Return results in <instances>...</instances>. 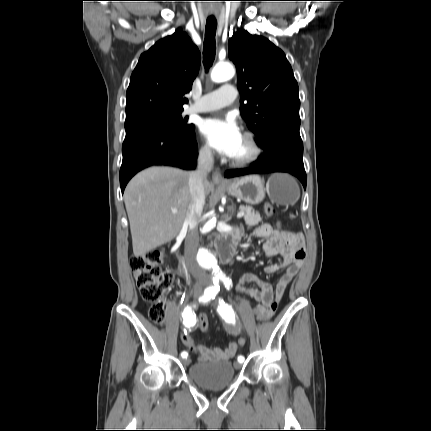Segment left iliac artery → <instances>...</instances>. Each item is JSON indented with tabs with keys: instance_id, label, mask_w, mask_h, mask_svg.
<instances>
[{
	"instance_id": "obj_1",
	"label": "left iliac artery",
	"mask_w": 431,
	"mask_h": 431,
	"mask_svg": "<svg viewBox=\"0 0 431 431\" xmlns=\"http://www.w3.org/2000/svg\"><path fill=\"white\" fill-rule=\"evenodd\" d=\"M223 282L225 284V287L229 290L231 281L229 279H224ZM218 291H219V287H218V289H217V287H215L213 289L212 298L215 297V295L218 293ZM217 311L225 320L230 321V322L234 321L235 314H234L233 308L231 305L225 303L223 299H219V306H218ZM238 362L243 363L244 357L239 356Z\"/></svg>"
}]
</instances>
